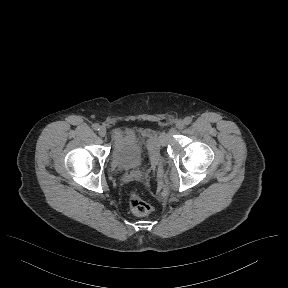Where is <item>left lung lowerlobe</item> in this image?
Returning a JSON list of instances; mask_svg holds the SVG:
<instances>
[{"instance_id": "left-lung-lower-lobe-1", "label": "left lung lower lobe", "mask_w": 288, "mask_h": 288, "mask_svg": "<svg viewBox=\"0 0 288 288\" xmlns=\"http://www.w3.org/2000/svg\"><path fill=\"white\" fill-rule=\"evenodd\" d=\"M263 206H264L263 201L261 199H259V201L254 206L250 216H254V215L259 214L263 210Z\"/></svg>"}]
</instances>
